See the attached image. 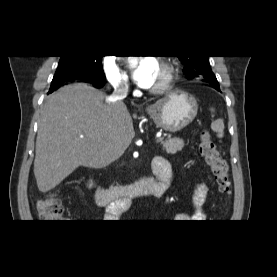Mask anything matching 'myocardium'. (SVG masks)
Listing matches in <instances>:
<instances>
[{"mask_svg":"<svg viewBox=\"0 0 277 277\" xmlns=\"http://www.w3.org/2000/svg\"><path fill=\"white\" fill-rule=\"evenodd\" d=\"M160 65L163 68L164 76L159 84L150 89L151 93H163L167 91L174 80L175 73L172 65L166 61H161Z\"/></svg>","mask_w":277,"mask_h":277,"instance_id":"obj_1","label":"myocardium"}]
</instances>
